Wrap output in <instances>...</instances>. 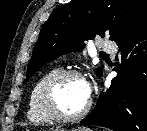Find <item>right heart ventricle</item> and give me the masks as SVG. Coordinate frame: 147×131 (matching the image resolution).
I'll use <instances>...</instances> for the list:
<instances>
[{
	"instance_id": "obj_1",
	"label": "right heart ventricle",
	"mask_w": 147,
	"mask_h": 131,
	"mask_svg": "<svg viewBox=\"0 0 147 131\" xmlns=\"http://www.w3.org/2000/svg\"><path fill=\"white\" fill-rule=\"evenodd\" d=\"M59 71H61V68L53 67L44 72L34 83L29 94L27 109V117L31 122L35 124H46L53 120L43 110L40 94L45 82Z\"/></svg>"
}]
</instances>
